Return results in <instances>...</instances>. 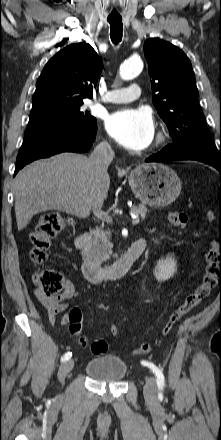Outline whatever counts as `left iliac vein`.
<instances>
[{"label":"left iliac vein","mask_w":221,"mask_h":440,"mask_svg":"<svg viewBox=\"0 0 221 440\" xmlns=\"http://www.w3.org/2000/svg\"><path fill=\"white\" fill-rule=\"evenodd\" d=\"M143 392L146 399L148 400L155 399L157 387H156V380L154 377L150 376L146 379Z\"/></svg>","instance_id":"4c4485c4"}]
</instances>
